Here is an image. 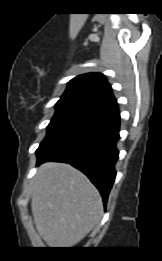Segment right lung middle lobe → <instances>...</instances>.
Returning a JSON list of instances; mask_svg holds the SVG:
<instances>
[{"instance_id": "1", "label": "right lung middle lobe", "mask_w": 162, "mask_h": 261, "mask_svg": "<svg viewBox=\"0 0 162 261\" xmlns=\"http://www.w3.org/2000/svg\"><path fill=\"white\" fill-rule=\"evenodd\" d=\"M55 107L56 113L47 127V135L42 143L64 126L103 108V105L84 95L63 94Z\"/></svg>"}]
</instances>
